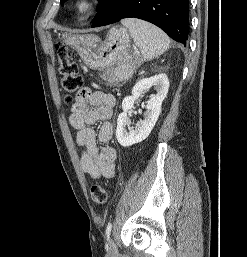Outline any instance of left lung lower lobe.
Returning a JSON list of instances; mask_svg holds the SVG:
<instances>
[{"label":"left lung lower lobe","instance_id":"0a47b994","mask_svg":"<svg viewBox=\"0 0 247 257\" xmlns=\"http://www.w3.org/2000/svg\"><path fill=\"white\" fill-rule=\"evenodd\" d=\"M123 18L151 22L172 39L186 45L188 39V0H106L99 8L91 27H99Z\"/></svg>","mask_w":247,"mask_h":257}]
</instances>
